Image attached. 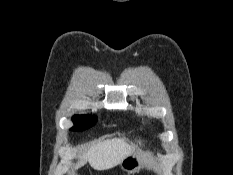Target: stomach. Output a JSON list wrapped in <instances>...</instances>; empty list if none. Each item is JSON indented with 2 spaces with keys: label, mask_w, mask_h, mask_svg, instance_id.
Returning a JSON list of instances; mask_svg holds the SVG:
<instances>
[{
  "label": "stomach",
  "mask_w": 233,
  "mask_h": 175,
  "mask_svg": "<svg viewBox=\"0 0 233 175\" xmlns=\"http://www.w3.org/2000/svg\"><path fill=\"white\" fill-rule=\"evenodd\" d=\"M120 167L128 175L139 172L143 168V157L140 153L132 152L120 162Z\"/></svg>",
  "instance_id": "1"
}]
</instances>
